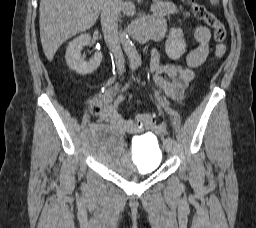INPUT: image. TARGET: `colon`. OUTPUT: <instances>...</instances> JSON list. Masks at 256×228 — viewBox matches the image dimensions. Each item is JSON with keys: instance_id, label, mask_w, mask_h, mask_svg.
<instances>
[{"instance_id": "1", "label": "colon", "mask_w": 256, "mask_h": 228, "mask_svg": "<svg viewBox=\"0 0 256 228\" xmlns=\"http://www.w3.org/2000/svg\"><path fill=\"white\" fill-rule=\"evenodd\" d=\"M186 4L191 6L192 12L195 17L204 21L210 28L213 29L214 39L217 42L214 50V56L216 59H221L226 53V46L223 43L226 39V29L223 23L218 17L209 11L205 6L198 3L196 0H182ZM92 109L94 112H100L102 105L99 101L92 103ZM155 115L151 113H142L138 115V124L143 127H150L155 123Z\"/></svg>"}]
</instances>
